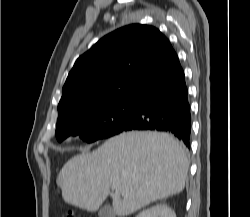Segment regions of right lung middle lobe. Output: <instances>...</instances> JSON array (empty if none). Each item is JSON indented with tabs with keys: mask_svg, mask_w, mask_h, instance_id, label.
I'll return each instance as SVG.
<instances>
[{
	"mask_svg": "<svg viewBox=\"0 0 250 217\" xmlns=\"http://www.w3.org/2000/svg\"><path fill=\"white\" fill-rule=\"evenodd\" d=\"M134 99L111 101L82 110L57 123L59 142L69 136H79L87 142L119 134L131 122Z\"/></svg>",
	"mask_w": 250,
	"mask_h": 217,
	"instance_id": "dd1d6c3e",
	"label": "right lung middle lobe"
}]
</instances>
